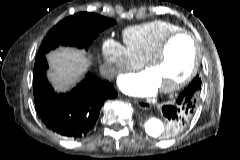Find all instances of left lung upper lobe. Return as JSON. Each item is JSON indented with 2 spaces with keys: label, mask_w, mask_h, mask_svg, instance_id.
<instances>
[{
  "label": "left lung upper lobe",
  "mask_w": 240,
  "mask_h": 160,
  "mask_svg": "<svg viewBox=\"0 0 240 160\" xmlns=\"http://www.w3.org/2000/svg\"><path fill=\"white\" fill-rule=\"evenodd\" d=\"M191 84H194L196 87H195V89L197 90V91H199L200 89H201V80H200V78L198 77V76H196L195 78H194V80L192 81V83ZM186 115V114H185ZM192 118V117H191ZM191 120V119H190ZM190 120H188V122L190 121ZM188 123H183L182 125H173V123H171L170 121H168V128H170V130H171V133L170 134H172V132H175V131H180V130H182L186 125H187Z\"/></svg>",
  "instance_id": "5c2ea615"
}]
</instances>
